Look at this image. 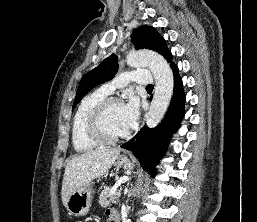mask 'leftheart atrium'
<instances>
[{
    "label": "left heart atrium",
    "instance_id": "1",
    "mask_svg": "<svg viewBox=\"0 0 257 222\" xmlns=\"http://www.w3.org/2000/svg\"><path fill=\"white\" fill-rule=\"evenodd\" d=\"M139 118V102L135 97H131L127 103L122 106V120L124 133L132 130Z\"/></svg>",
    "mask_w": 257,
    "mask_h": 222
}]
</instances>
